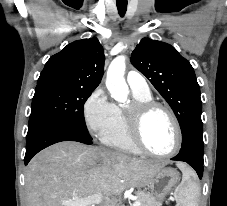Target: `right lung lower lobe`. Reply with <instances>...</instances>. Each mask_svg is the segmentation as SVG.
Listing matches in <instances>:
<instances>
[{
  "label": "right lung lower lobe",
  "mask_w": 227,
  "mask_h": 206,
  "mask_svg": "<svg viewBox=\"0 0 227 206\" xmlns=\"http://www.w3.org/2000/svg\"><path fill=\"white\" fill-rule=\"evenodd\" d=\"M61 141H77L92 144L90 136L70 126L48 123L29 131L26 136L25 165L42 149Z\"/></svg>",
  "instance_id": "98d812e1"
}]
</instances>
